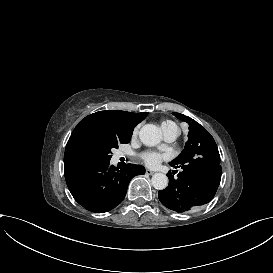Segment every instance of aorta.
Segmentation results:
<instances>
[{"instance_id":"1","label":"aorta","mask_w":273,"mask_h":273,"mask_svg":"<svg viewBox=\"0 0 273 273\" xmlns=\"http://www.w3.org/2000/svg\"><path fill=\"white\" fill-rule=\"evenodd\" d=\"M139 138L144 145L155 146L160 143L162 135L155 125L146 124L140 129ZM151 182L155 189L163 190L168 186V177L163 173H155Z\"/></svg>"}]
</instances>
